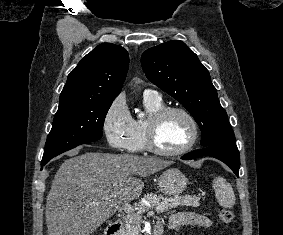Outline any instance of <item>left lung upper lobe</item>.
Returning a JSON list of instances; mask_svg holds the SVG:
<instances>
[{
  "label": "left lung upper lobe",
  "instance_id": "5c2ea615",
  "mask_svg": "<svg viewBox=\"0 0 283 235\" xmlns=\"http://www.w3.org/2000/svg\"><path fill=\"white\" fill-rule=\"evenodd\" d=\"M141 64L148 80L194 117L202 132V146L236 144L208 70L185 43L173 40L150 48L142 54Z\"/></svg>",
  "mask_w": 283,
  "mask_h": 235
}]
</instances>
